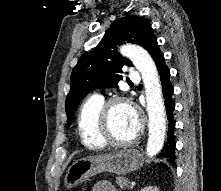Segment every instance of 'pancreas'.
<instances>
[{"label": "pancreas", "instance_id": "cf45deb5", "mask_svg": "<svg viewBox=\"0 0 221 191\" xmlns=\"http://www.w3.org/2000/svg\"><path fill=\"white\" fill-rule=\"evenodd\" d=\"M116 183L121 189H128L130 181L125 177H116Z\"/></svg>", "mask_w": 221, "mask_h": 191}]
</instances>
